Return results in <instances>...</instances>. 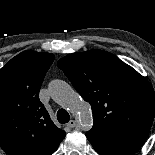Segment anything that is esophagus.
<instances>
[{
  "instance_id": "obj_1",
  "label": "esophagus",
  "mask_w": 155,
  "mask_h": 155,
  "mask_svg": "<svg viewBox=\"0 0 155 155\" xmlns=\"http://www.w3.org/2000/svg\"><path fill=\"white\" fill-rule=\"evenodd\" d=\"M76 125H77V121H76V120H70V121L67 123V126H68L69 128H74Z\"/></svg>"
}]
</instances>
